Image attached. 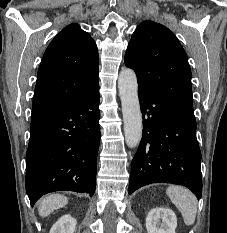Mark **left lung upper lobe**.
I'll use <instances>...</instances> for the list:
<instances>
[{
  "label": "left lung upper lobe",
  "mask_w": 227,
  "mask_h": 233,
  "mask_svg": "<svg viewBox=\"0 0 227 233\" xmlns=\"http://www.w3.org/2000/svg\"><path fill=\"white\" fill-rule=\"evenodd\" d=\"M125 64L134 69L138 88L193 110L187 55L167 27L153 21L142 22L128 44Z\"/></svg>",
  "instance_id": "obj_1"
}]
</instances>
